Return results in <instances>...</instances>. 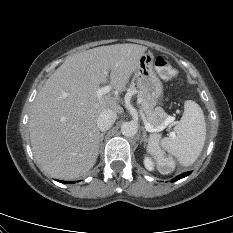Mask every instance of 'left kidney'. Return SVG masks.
<instances>
[{
	"instance_id": "left-kidney-1",
	"label": "left kidney",
	"mask_w": 233,
	"mask_h": 233,
	"mask_svg": "<svg viewBox=\"0 0 233 233\" xmlns=\"http://www.w3.org/2000/svg\"><path fill=\"white\" fill-rule=\"evenodd\" d=\"M144 165L145 168L149 171H153L155 168L153 160L148 155L144 157Z\"/></svg>"
}]
</instances>
